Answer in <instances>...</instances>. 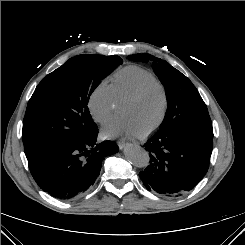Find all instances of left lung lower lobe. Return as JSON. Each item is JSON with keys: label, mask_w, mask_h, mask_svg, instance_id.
<instances>
[{"label": "left lung lower lobe", "mask_w": 245, "mask_h": 245, "mask_svg": "<svg viewBox=\"0 0 245 245\" xmlns=\"http://www.w3.org/2000/svg\"><path fill=\"white\" fill-rule=\"evenodd\" d=\"M212 139L194 129L157 132L144 145L150 156V164L139 173L144 186L171 197L191 190L208 170Z\"/></svg>", "instance_id": "left-lung-lower-lobe-1"}]
</instances>
